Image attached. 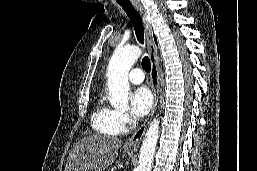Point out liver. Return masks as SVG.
I'll list each match as a JSON object with an SVG mask.
<instances>
[{
    "instance_id": "liver-1",
    "label": "liver",
    "mask_w": 257,
    "mask_h": 171,
    "mask_svg": "<svg viewBox=\"0 0 257 171\" xmlns=\"http://www.w3.org/2000/svg\"><path fill=\"white\" fill-rule=\"evenodd\" d=\"M122 143L110 136H86L74 144L65 171H105L116 160Z\"/></svg>"
}]
</instances>
